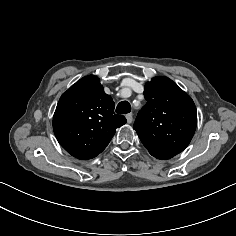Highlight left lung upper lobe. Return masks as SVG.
<instances>
[{
    "mask_svg": "<svg viewBox=\"0 0 236 236\" xmlns=\"http://www.w3.org/2000/svg\"><path fill=\"white\" fill-rule=\"evenodd\" d=\"M147 103L138 112L133 128L154 156L173 157L190 143L197 125L191 97L171 79L159 76L145 84Z\"/></svg>",
    "mask_w": 236,
    "mask_h": 236,
    "instance_id": "5c2ea615",
    "label": "left lung upper lobe"
}]
</instances>
